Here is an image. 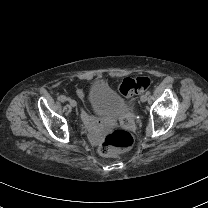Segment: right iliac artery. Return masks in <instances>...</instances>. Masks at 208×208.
I'll return each instance as SVG.
<instances>
[{"instance_id": "1", "label": "right iliac artery", "mask_w": 208, "mask_h": 208, "mask_svg": "<svg viewBox=\"0 0 208 208\" xmlns=\"http://www.w3.org/2000/svg\"><path fill=\"white\" fill-rule=\"evenodd\" d=\"M67 101H68V102H71V101H72V99H71L70 97H68V98H67Z\"/></svg>"}]
</instances>
